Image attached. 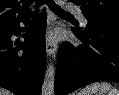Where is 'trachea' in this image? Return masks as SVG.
Instances as JSON below:
<instances>
[{"mask_svg": "<svg viewBox=\"0 0 119 95\" xmlns=\"http://www.w3.org/2000/svg\"><path fill=\"white\" fill-rule=\"evenodd\" d=\"M45 2L46 5L57 15L60 16H72L67 11L63 10L60 6H58L54 0H41L37 2V5H41Z\"/></svg>", "mask_w": 119, "mask_h": 95, "instance_id": "1", "label": "trachea"}]
</instances>
